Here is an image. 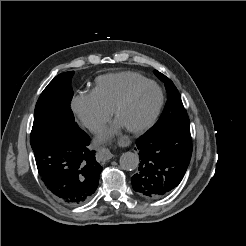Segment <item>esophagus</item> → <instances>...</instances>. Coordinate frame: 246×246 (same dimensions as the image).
I'll return each instance as SVG.
<instances>
[{
	"instance_id": "34e87169",
	"label": "esophagus",
	"mask_w": 246,
	"mask_h": 246,
	"mask_svg": "<svg viewBox=\"0 0 246 246\" xmlns=\"http://www.w3.org/2000/svg\"><path fill=\"white\" fill-rule=\"evenodd\" d=\"M98 158L101 161L110 160L114 155L107 148H100L97 153Z\"/></svg>"
}]
</instances>
